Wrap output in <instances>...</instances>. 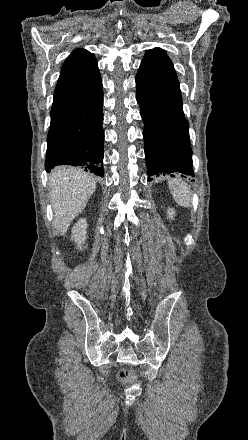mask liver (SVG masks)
<instances>
[{
    "label": "liver",
    "instance_id": "6515ba94",
    "mask_svg": "<svg viewBox=\"0 0 248 440\" xmlns=\"http://www.w3.org/2000/svg\"><path fill=\"white\" fill-rule=\"evenodd\" d=\"M54 227L58 235L66 233L71 222L84 210L96 189V179L73 167H57L49 177Z\"/></svg>",
    "mask_w": 248,
    "mask_h": 440
}]
</instances>
